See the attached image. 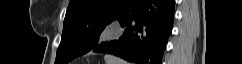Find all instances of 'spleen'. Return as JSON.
I'll return each instance as SVG.
<instances>
[{
	"instance_id": "1",
	"label": "spleen",
	"mask_w": 242,
	"mask_h": 64,
	"mask_svg": "<svg viewBox=\"0 0 242 64\" xmlns=\"http://www.w3.org/2000/svg\"><path fill=\"white\" fill-rule=\"evenodd\" d=\"M104 59L107 64H128L126 61L112 55H105Z\"/></svg>"
}]
</instances>
